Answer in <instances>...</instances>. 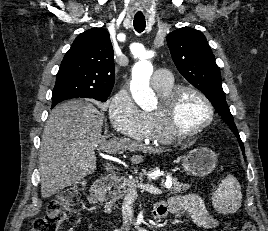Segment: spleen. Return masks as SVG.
Listing matches in <instances>:
<instances>
[{"instance_id": "1", "label": "spleen", "mask_w": 268, "mask_h": 231, "mask_svg": "<svg viewBox=\"0 0 268 231\" xmlns=\"http://www.w3.org/2000/svg\"><path fill=\"white\" fill-rule=\"evenodd\" d=\"M214 208L222 214L235 213L241 207L242 193L238 180L228 175L212 195Z\"/></svg>"}]
</instances>
